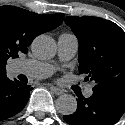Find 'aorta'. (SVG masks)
<instances>
[{"label":"aorta","mask_w":125,"mask_h":125,"mask_svg":"<svg viewBox=\"0 0 125 125\" xmlns=\"http://www.w3.org/2000/svg\"><path fill=\"white\" fill-rule=\"evenodd\" d=\"M33 54L42 60L51 59L56 54V44L52 37L40 35L31 45ZM56 108L62 115L73 114L77 109V101L74 96L64 94L56 100Z\"/></svg>","instance_id":"aorta-1"}]
</instances>
